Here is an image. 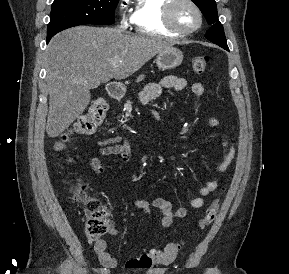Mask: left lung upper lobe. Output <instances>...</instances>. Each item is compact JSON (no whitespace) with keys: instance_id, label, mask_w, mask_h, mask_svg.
I'll use <instances>...</instances> for the list:
<instances>
[{"instance_id":"left-lung-upper-lobe-1","label":"left lung upper lobe","mask_w":289,"mask_h":274,"mask_svg":"<svg viewBox=\"0 0 289 274\" xmlns=\"http://www.w3.org/2000/svg\"><path fill=\"white\" fill-rule=\"evenodd\" d=\"M201 10L211 27L206 32V38L222 48H228L224 29L218 20L215 0H192Z\"/></svg>"}]
</instances>
